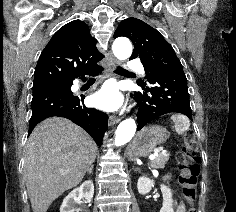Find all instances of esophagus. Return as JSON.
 <instances>
[{"instance_id":"esophagus-1","label":"esophagus","mask_w":236,"mask_h":212,"mask_svg":"<svg viewBox=\"0 0 236 212\" xmlns=\"http://www.w3.org/2000/svg\"><path fill=\"white\" fill-rule=\"evenodd\" d=\"M117 65V61L115 60L114 57H110L109 59V70H112L115 66ZM120 119L116 117L115 115H110L109 116V125L112 126L116 123H118Z\"/></svg>"}]
</instances>
